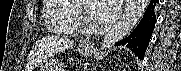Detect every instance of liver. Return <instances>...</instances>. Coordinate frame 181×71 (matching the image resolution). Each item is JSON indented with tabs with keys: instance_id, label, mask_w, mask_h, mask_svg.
Masks as SVG:
<instances>
[{
	"instance_id": "liver-1",
	"label": "liver",
	"mask_w": 181,
	"mask_h": 71,
	"mask_svg": "<svg viewBox=\"0 0 181 71\" xmlns=\"http://www.w3.org/2000/svg\"><path fill=\"white\" fill-rule=\"evenodd\" d=\"M72 40L59 36H48L38 41L36 46L33 47L29 56L26 70L30 71L34 69V66L41 62L42 59L49 55L63 51L65 49L73 47Z\"/></svg>"
}]
</instances>
